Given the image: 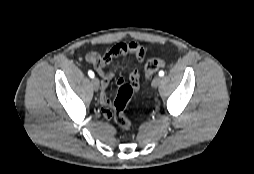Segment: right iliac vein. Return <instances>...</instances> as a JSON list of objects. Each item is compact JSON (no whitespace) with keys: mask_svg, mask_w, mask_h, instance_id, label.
Returning <instances> with one entry per match:
<instances>
[{"mask_svg":"<svg viewBox=\"0 0 254 174\" xmlns=\"http://www.w3.org/2000/svg\"><path fill=\"white\" fill-rule=\"evenodd\" d=\"M92 86H93V89H94L95 91H98V90H99L100 83H99L98 78H93V79H92Z\"/></svg>","mask_w":254,"mask_h":174,"instance_id":"right-iliac-vein-1","label":"right iliac vein"}]
</instances>
